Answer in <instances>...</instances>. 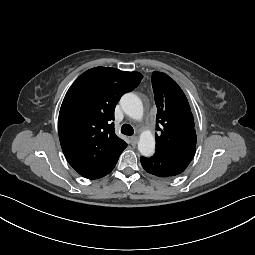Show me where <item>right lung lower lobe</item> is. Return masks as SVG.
<instances>
[{"label": "right lung lower lobe", "instance_id": "1", "mask_svg": "<svg viewBox=\"0 0 255 255\" xmlns=\"http://www.w3.org/2000/svg\"><path fill=\"white\" fill-rule=\"evenodd\" d=\"M114 168V167H113ZM113 168H111V170H109L105 175H107L108 173H110L112 170H113ZM105 175H103V176H105ZM102 176V177H103Z\"/></svg>", "mask_w": 255, "mask_h": 255}]
</instances>
